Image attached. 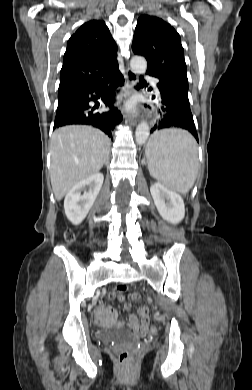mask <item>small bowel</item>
Masks as SVG:
<instances>
[{
	"label": "small bowel",
	"mask_w": 252,
	"mask_h": 390,
	"mask_svg": "<svg viewBox=\"0 0 252 390\" xmlns=\"http://www.w3.org/2000/svg\"><path fill=\"white\" fill-rule=\"evenodd\" d=\"M108 300L118 298L123 301L124 295L121 292H110L107 296ZM125 310L128 312L127 322L129 327L138 335H144L149 328V309L147 306H142L138 310V316L131 313V305L126 304ZM95 319L102 323L112 324L118 322V313L116 309L100 305L95 311Z\"/></svg>",
	"instance_id": "small-bowel-1"
}]
</instances>
